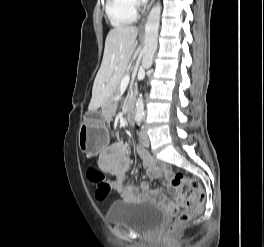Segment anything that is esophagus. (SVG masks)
Returning a JSON list of instances; mask_svg holds the SVG:
<instances>
[{
	"label": "esophagus",
	"mask_w": 264,
	"mask_h": 247,
	"mask_svg": "<svg viewBox=\"0 0 264 247\" xmlns=\"http://www.w3.org/2000/svg\"><path fill=\"white\" fill-rule=\"evenodd\" d=\"M155 0H151V2L149 3L145 13H144V17L142 19V22H141V25H140V28L142 29L145 25V22H146V18H147V15H148V12L150 10V8L152 7L153 3H154Z\"/></svg>",
	"instance_id": "34e87169"
}]
</instances>
